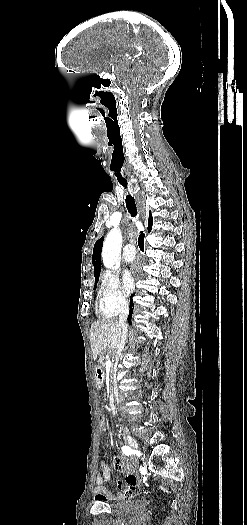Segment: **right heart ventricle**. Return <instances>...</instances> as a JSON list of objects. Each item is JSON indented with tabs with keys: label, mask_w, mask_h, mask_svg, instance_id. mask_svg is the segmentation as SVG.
I'll return each mask as SVG.
<instances>
[{
	"label": "right heart ventricle",
	"mask_w": 247,
	"mask_h": 525,
	"mask_svg": "<svg viewBox=\"0 0 247 525\" xmlns=\"http://www.w3.org/2000/svg\"><path fill=\"white\" fill-rule=\"evenodd\" d=\"M96 313H97V315H98L100 318L108 317V315H104V314L101 312V309H100L98 303H97V305H96Z\"/></svg>",
	"instance_id": "1"
}]
</instances>
